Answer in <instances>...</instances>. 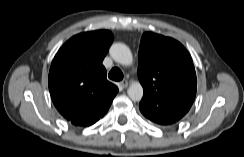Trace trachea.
I'll return each instance as SVG.
<instances>
[{"mask_svg": "<svg viewBox=\"0 0 244 157\" xmlns=\"http://www.w3.org/2000/svg\"><path fill=\"white\" fill-rule=\"evenodd\" d=\"M109 78L113 81H121L123 79V73L119 68H113L109 72Z\"/></svg>", "mask_w": 244, "mask_h": 157, "instance_id": "1", "label": "trachea"}]
</instances>
